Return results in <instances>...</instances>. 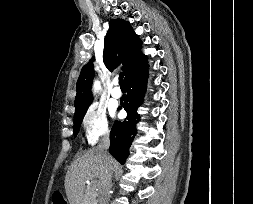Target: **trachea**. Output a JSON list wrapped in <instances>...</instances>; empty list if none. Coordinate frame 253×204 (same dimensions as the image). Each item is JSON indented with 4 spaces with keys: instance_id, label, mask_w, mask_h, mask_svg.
Instances as JSON below:
<instances>
[{
    "instance_id": "trachea-1",
    "label": "trachea",
    "mask_w": 253,
    "mask_h": 204,
    "mask_svg": "<svg viewBox=\"0 0 253 204\" xmlns=\"http://www.w3.org/2000/svg\"><path fill=\"white\" fill-rule=\"evenodd\" d=\"M123 77H124V75H123V73L121 72V73L119 74V84H120V86H125V82H124V80H123Z\"/></svg>"
}]
</instances>
